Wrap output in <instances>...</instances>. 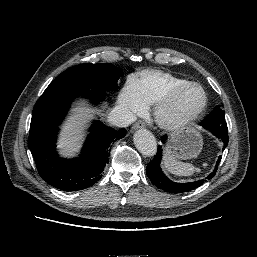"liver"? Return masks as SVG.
I'll return each instance as SVG.
<instances>
[{"label": "liver", "instance_id": "obj_1", "mask_svg": "<svg viewBox=\"0 0 257 257\" xmlns=\"http://www.w3.org/2000/svg\"><path fill=\"white\" fill-rule=\"evenodd\" d=\"M90 116V110L83 104L73 108L71 116H69L62 127L58 148L64 157L75 155V152L81 147L83 131L86 121Z\"/></svg>", "mask_w": 257, "mask_h": 257}]
</instances>
